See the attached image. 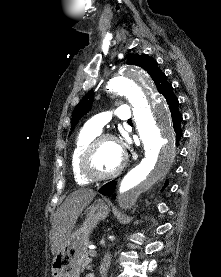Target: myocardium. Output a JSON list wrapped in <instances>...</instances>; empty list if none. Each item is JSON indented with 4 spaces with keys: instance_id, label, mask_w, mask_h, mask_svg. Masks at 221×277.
Returning a JSON list of instances; mask_svg holds the SVG:
<instances>
[{
    "instance_id": "obj_1",
    "label": "myocardium",
    "mask_w": 221,
    "mask_h": 277,
    "mask_svg": "<svg viewBox=\"0 0 221 277\" xmlns=\"http://www.w3.org/2000/svg\"><path fill=\"white\" fill-rule=\"evenodd\" d=\"M105 141H113L118 144V139L115 136L111 134H101L96 136L90 142V144L86 147V149L84 150L81 156L80 163H79L80 172L89 181H102V180L114 178L118 176L126 166V156L123 153L120 164L112 172L106 173V174H98L93 171L91 167L93 156L97 151V149L99 148V146Z\"/></svg>"
}]
</instances>
